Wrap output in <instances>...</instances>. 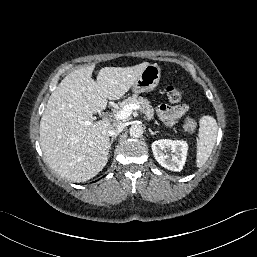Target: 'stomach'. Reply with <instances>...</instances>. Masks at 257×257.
Masks as SVG:
<instances>
[{
  "instance_id": "0dacf381",
  "label": "stomach",
  "mask_w": 257,
  "mask_h": 257,
  "mask_svg": "<svg viewBox=\"0 0 257 257\" xmlns=\"http://www.w3.org/2000/svg\"><path fill=\"white\" fill-rule=\"evenodd\" d=\"M160 77V67L157 64H149L132 85L133 92L138 94L152 91L159 84Z\"/></svg>"
}]
</instances>
